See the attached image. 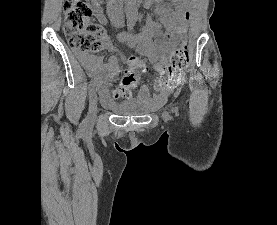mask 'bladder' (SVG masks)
Here are the masks:
<instances>
[{
    "label": "bladder",
    "instance_id": "1",
    "mask_svg": "<svg viewBox=\"0 0 277 225\" xmlns=\"http://www.w3.org/2000/svg\"><path fill=\"white\" fill-rule=\"evenodd\" d=\"M105 107L117 115L135 116L151 111L153 105L149 100H132L129 102L108 104Z\"/></svg>",
    "mask_w": 277,
    "mask_h": 225
}]
</instances>
